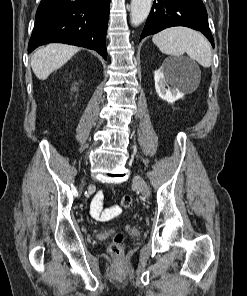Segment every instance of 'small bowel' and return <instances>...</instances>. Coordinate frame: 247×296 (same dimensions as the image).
I'll return each instance as SVG.
<instances>
[{
    "label": "small bowel",
    "mask_w": 247,
    "mask_h": 296,
    "mask_svg": "<svg viewBox=\"0 0 247 296\" xmlns=\"http://www.w3.org/2000/svg\"><path fill=\"white\" fill-rule=\"evenodd\" d=\"M102 195L99 194L96 196V198L94 199L93 201V204H92V215L94 218L96 219H107V218H100L99 214H107L110 212V209H107V210H103L102 209Z\"/></svg>",
    "instance_id": "small-bowel-1"
}]
</instances>
